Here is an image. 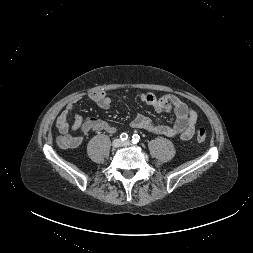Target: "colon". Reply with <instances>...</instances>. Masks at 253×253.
<instances>
[{"label": "colon", "instance_id": "1", "mask_svg": "<svg viewBox=\"0 0 253 253\" xmlns=\"http://www.w3.org/2000/svg\"><path fill=\"white\" fill-rule=\"evenodd\" d=\"M206 131L204 128H200L196 134V139L198 142L202 143L206 140ZM58 144L63 147L67 148L68 147V139L65 136H60L58 139Z\"/></svg>", "mask_w": 253, "mask_h": 253}]
</instances>
